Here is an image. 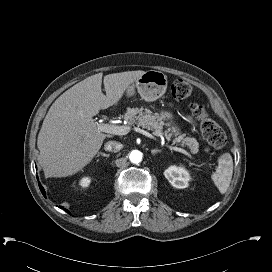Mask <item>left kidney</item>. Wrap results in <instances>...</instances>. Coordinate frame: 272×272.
I'll use <instances>...</instances> for the list:
<instances>
[{"instance_id":"5707ae66","label":"left kidney","mask_w":272,"mask_h":272,"mask_svg":"<svg viewBox=\"0 0 272 272\" xmlns=\"http://www.w3.org/2000/svg\"><path fill=\"white\" fill-rule=\"evenodd\" d=\"M164 175L171 185L178 189L188 187V182L191 179L186 169L177 166H170L165 170Z\"/></svg>"}]
</instances>
